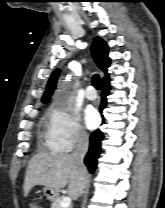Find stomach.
<instances>
[{
    "instance_id": "0dacf381",
    "label": "stomach",
    "mask_w": 165,
    "mask_h": 208,
    "mask_svg": "<svg viewBox=\"0 0 165 208\" xmlns=\"http://www.w3.org/2000/svg\"><path fill=\"white\" fill-rule=\"evenodd\" d=\"M44 195L47 197L48 200L53 201L58 197V192L50 188H44Z\"/></svg>"
}]
</instances>
